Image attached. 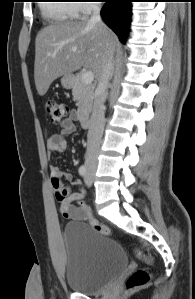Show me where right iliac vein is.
Listing matches in <instances>:
<instances>
[{
	"label": "right iliac vein",
	"instance_id": "63e3f726",
	"mask_svg": "<svg viewBox=\"0 0 195 299\" xmlns=\"http://www.w3.org/2000/svg\"><path fill=\"white\" fill-rule=\"evenodd\" d=\"M93 170H94V167H90V168H89L90 173H92Z\"/></svg>",
	"mask_w": 195,
	"mask_h": 299
}]
</instances>
